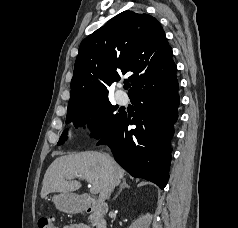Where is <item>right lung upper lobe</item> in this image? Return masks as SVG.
<instances>
[{
    "label": "right lung upper lobe",
    "mask_w": 238,
    "mask_h": 228,
    "mask_svg": "<svg viewBox=\"0 0 238 228\" xmlns=\"http://www.w3.org/2000/svg\"><path fill=\"white\" fill-rule=\"evenodd\" d=\"M172 49L156 18L124 11L86 37L75 61L68 106L108 100L109 87L130 74L129 97L176 74Z\"/></svg>",
    "instance_id": "obj_1"
}]
</instances>
